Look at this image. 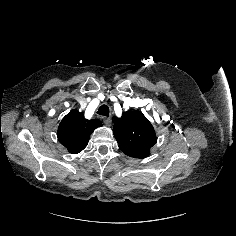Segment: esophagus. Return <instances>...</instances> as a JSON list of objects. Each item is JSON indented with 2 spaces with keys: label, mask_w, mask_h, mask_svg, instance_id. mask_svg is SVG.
<instances>
[{
  "label": "esophagus",
  "mask_w": 236,
  "mask_h": 236,
  "mask_svg": "<svg viewBox=\"0 0 236 236\" xmlns=\"http://www.w3.org/2000/svg\"><path fill=\"white\" fill-rule=\"evenodd\" d=\"M103 121H104L105 125H107V126H110L112 123L111 117H104Z\"/></svg>",
  "instance_id": "esophagus-1"
}]
</instances>
